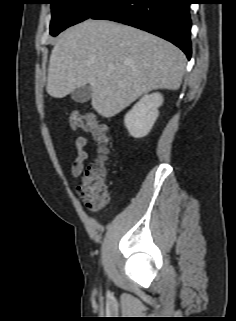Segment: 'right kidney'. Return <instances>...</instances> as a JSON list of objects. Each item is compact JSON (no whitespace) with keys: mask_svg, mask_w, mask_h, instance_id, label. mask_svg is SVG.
Wrapping results in <instances>:
<instances>
[{"mask_svg":"<svg viewBox=\"0 0 236 321\" xmlns=\"http://www.w3.org/2000/svg\"><path fill=\"white\" fill-rule=\"evenodd\" d=\"M163 100L160 93L144 95L125 115L124 124L132 137L141 138L151 131Z\"/></svg>","mask_w":236,"mask_h":321,"instance_id":"right-kidney-1","label":"right kidney"}]
</instances>
